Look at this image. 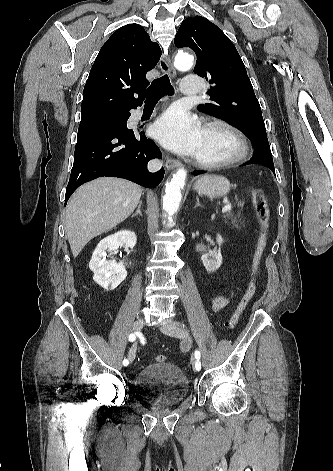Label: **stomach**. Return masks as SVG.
I'll use <instances>...</instances> for the list:
<instances>
[{
  "instance_id": "obj_1",
  "label": "stomach",
  "mask_w": 333,
  "mask_h": 471,
  "mask_svg": "<svg viewBox=\"0 0 333 471\" xmlns=\"http://www.w3.org/2000/svg\"><path fill=\"white\" fill-rule=\"evenodd\" d=\"M230 182L221 175H203L194 184V190L210 198H220L230 190Z\"/></svg>"
}]
</instances>
